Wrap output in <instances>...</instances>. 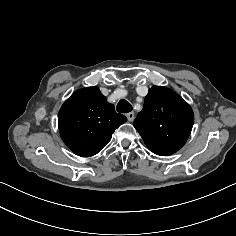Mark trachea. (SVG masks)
I'll return each instance as SVG.
<instances>
[{
  "label": "trachea",
  "mask_w": 236,
  "mask_h": 236,
  "mask_svg": "<svg viewBox=\"0 0 236 236\" xmlns=\"http://www.w3.org/2000/svg\"><path fill=\"white\" fill-rule=\"evenodd\" d=\"M132 109V105L124 99L120 100L117 104V111L120 113H128Z\"/></svg>",
  "instance_id": "trachea-1"
}]
</instances>
